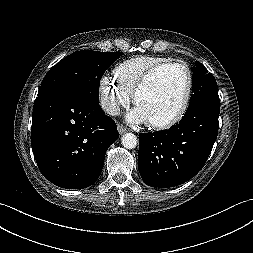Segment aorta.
I'll return each instance as SVG.
<instances>
[{
	"instance_id": "762f6f07",
	"label": "aorta",
	"mask_w": 253,
	"mask_h": 253,
	"mask_svg": "<svg viewBox=\"0 0 253 253\" xmlns=\"http://www.w3.org/2000/svg\"><path fill=\"white\" fill-rule=\"evenodd\" d=\"M121 142L124 148L133 149L136 147L138 143V139L136 135H134L133 133H126L123 135Z\"/></svg>"
}]
</instances>
